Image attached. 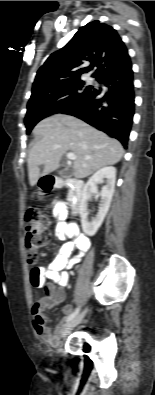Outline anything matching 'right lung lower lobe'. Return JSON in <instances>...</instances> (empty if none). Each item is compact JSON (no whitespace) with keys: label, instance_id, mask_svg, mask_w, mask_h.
<instances>
[{"label":"right lung lower lobe","instance_id":"obj_1","mask_svg":"<svg viewBox=\"0 0 155 395\" xmlns=\"http://www.w3.org/2000/svg\"><path fill=\"white\" fill-rule=\"evenodd\" d=\"M99 81L108 87V92L94 90L62 113L84 120L126 148L135 108L132 65L109 72Z\"/></svg>","mask_w":155,"mask_h":395}]
</instances>
